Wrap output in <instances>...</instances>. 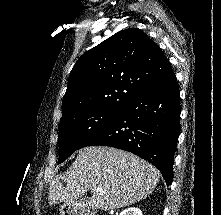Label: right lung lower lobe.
Here are the masks:
<instances>
[{"label": "right lung lower lobe", "mask_w": 221, "mask_h": 215, "mask_svg": "<svg viewBox=\"0 0 221 215\" xmlns=\"http://www.w3.org/2000/svg\"><path fill=\"white\" fill-rule=\"evenodd\" d=\"M180 94L175 74L125 106L114 122L80 148L103 145L129 151L152 163L171 184L180 132Z\"/></svg>", "instance_id": "right-lung-lower-lobe-1"}]
</instances>
